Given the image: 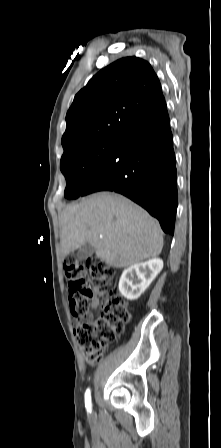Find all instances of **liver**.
<instances>
[{"instance_id": "1", "label": "liver", "mask_w": 221, "mask_h": 448, "mask_svg": "<svg viewBox=\"0 0 221 448\" xmlns=\"http://www.w3.org/2000/svg\"><path fill=\"white\" fill-rule=\"evenodd\" d=\"M64 256L89 243L114 268L157 257L163 248L159 223L129 199L101 192L66 207L60 217Z\"/></svg>"}]
</instances>
